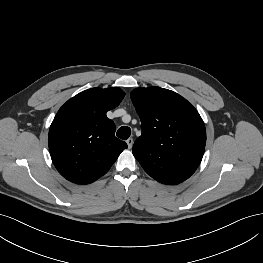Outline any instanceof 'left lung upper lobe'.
<instances>
[{
    "label": "left lung upper lobe",
    "mask_w": 263,
    "mask_h": 263,
    "mask_svg": "<svg viewBox=\"0 0 263 263\" xmlns=\"http://www.w3.org/2000/svg\"><path fill=\"white\" fill-rule=\"evenodd\" d=\"M131 99L142 128L132 150L143 169L153 178L167 167L192 175L206 144L197 110L179 94L156 86L134 89Z\"/></svg>",
    "instance_id": "5c2ea615"
}]
</instances>
